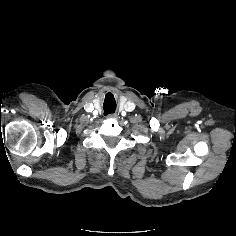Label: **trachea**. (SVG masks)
Here are the masks:
<instances>
[{
  "label": "trachea",
  "mask_w": 236,
  "mask_h": 236,
  "mask_svg": "<svg viewBox=\"0 0 236 236\" xmlns=\"http://www.w3.org/2000/svg\"><path fill=\"white\" fill-rule=\"evenodd\" d=\"M103 108H104V114H105V115L115 112V106H114V107H111V106H106V105H104Z\"/></svg>",
  "instance_id": "trachea-1"
}]
</instances>
